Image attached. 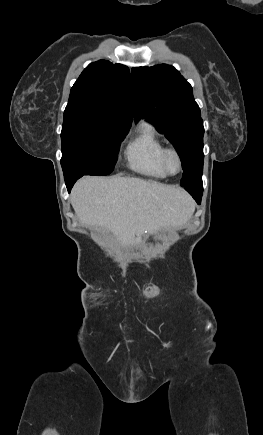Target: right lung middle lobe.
<instances>
[{
  "label": "right lung middle lobe",
  "instance_id": "obj_1",
  "mask_svg": "<svg viewBox=\"0 0 263 435\" xmlns=\"http://www.w3.org/2000/svg\"><path fill=\"white\" fill-rule=\"evenodd\" d=\"M128 131L87 112L64 113L61 132L64 178L110 174Z\"/></svg>",
  "mask_w": 263,
  "mask_h": 435
}]
</instances>
